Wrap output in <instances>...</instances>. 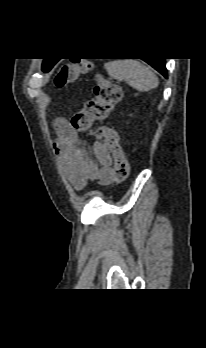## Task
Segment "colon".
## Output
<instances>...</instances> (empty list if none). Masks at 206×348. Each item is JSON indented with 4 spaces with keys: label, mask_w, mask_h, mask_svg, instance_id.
I'll list each match as a JSON object with an SVG mask.
<instances>
[{
    "label": "colon",
    "mask_w": 206,
    "mask_h": 348,
    "mask_svg": "<svg viewBox=\"0 0 206 348\" xmlns=\"http://www.w3.org/2000/svg\"><path fill=\"white\" fill-rule=\"evenodd\" d=\"M91 67L87 59L75 58L63 64L55 76V85L65 87L75 82L81 74ZM121 87L110 79L100 77L93 89L92 97L85 103L83 109L75 112L70 120L71 127L79 132H90L103 140L114 160V176L119 182L125 181L130 174V165L120 144L117 131L110 126L102 125L93 128L96 121L105 120L112 108L121 100Z\"/></svg>",
    "instance_id": "obj_1"
}]
</instances>
